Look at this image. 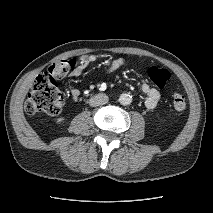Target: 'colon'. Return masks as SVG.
Returning <instances> with one entry per match:
<instances>
[{
  "instance_id": "colon-1",
  "label": "colon",
  "mask_w": 213,
  "mask_h": 213,
  "mask_svg": "<svg viewBox=\"0 0 213 213\" xmlns=\"http://www.w3.org/2000/svg\"><path fill=\"white\" fill-rule=\"evenodd\" d=\"M74 66L75 61L72 59L59 60L36 78L25 103V110L29 115L43 113L55 116L62 111L65 99L57 87L56 78L65 76ZM148 76L159 88H163L170 79L169 72L158 67H150ZM171 102L177 112H182L186 108L185 98L179 93L172 95Z\"/></svg>"
}]
</instances>
